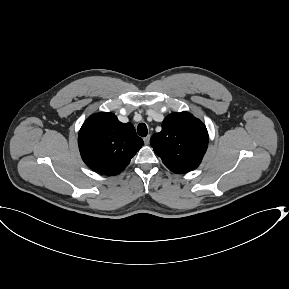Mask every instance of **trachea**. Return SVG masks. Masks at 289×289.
I'll return each mask as SVG.
<instances>
[{
    "label": "trachea",
    "instance_id": "trachea-1",
    "mask_svg": "<svg viewBox=\"0 0 289 289\" xmlns=\"http://www.w3.org/2000/svg\"><path fill=\"white\" fill-rule=\"evenodd\" d=\"M137 133L141 137H145L148 133V129L145 123H140L137 127Z\"/></svg>",
    "mask_w": 289,
    "mask_h": 289
}]
</instances>
